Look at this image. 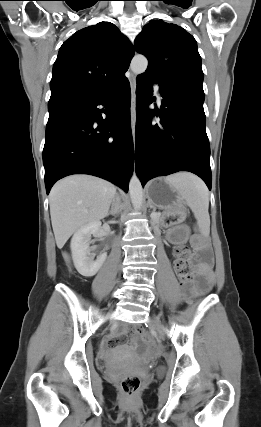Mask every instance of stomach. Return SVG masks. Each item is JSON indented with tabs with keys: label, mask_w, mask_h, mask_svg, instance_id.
<instances>
[{
	"label": "stomach",
	"mask_w": 261,
	"mask_h": 427,
	"mask_svg": "<svg viewBox=\"0 0 261 427\" xmlns=\"http://www.w3.org/2000/svg\"><path fill=\"white\" fill-rule=\"evenodd\" d=\"M147 197L151 205L164 210L167 215H185L184 200L166 179L152 180L147 186Z\"/></svg>",
	"instance_id": "1"
}]
</instances>
